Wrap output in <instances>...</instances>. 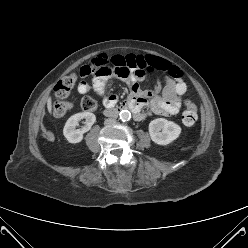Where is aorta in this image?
<instances>
[{
  "label": "aorta",
  "instance_id": "aorta-1",
  "mask_svg": "<svg viewBox=\"0 0 248 248\" xmlns=\"http://www.w3.org/2000/svg\"><path fill=\"white\" fill-rule=\"evenodd\" d=\"M119 117L122 121H128L131 118V113L128 110H122L119 114Z\"/></svg>",
  "mask_w": 248,
  "mask_h": 248
}]
</instances>
